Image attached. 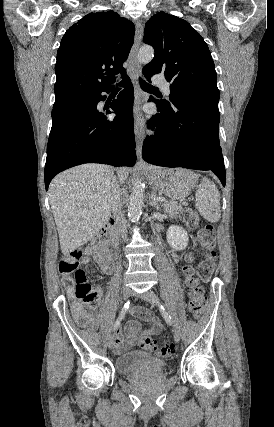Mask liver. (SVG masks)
I'll return each mask as SVG.
<instances>
[{
  "instance_id": "obj_1",
  "label": "liver",
  "mask_w": 274,
  "mask_h": 427,
  "mask_svg": "<svg viewBox=\"0 0 274 427\" xmlns=\"http://www.w3.org/2000/svg\"><path fill=\"white\" fill-rule=\"evenodd\" d=\"M103 164H83L58 174L49 186L51 210L62 253L84 245L111 217V198L128 168L115 170ZM119 180V182H117Z\"/></svg>"
}]
</instances>
